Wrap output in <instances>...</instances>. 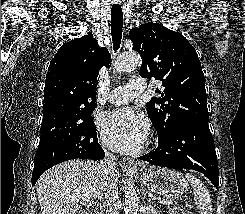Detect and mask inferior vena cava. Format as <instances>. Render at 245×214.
<instances>
[{
    "label": "inferior vena cava",
    "mask_w": 245,
    "mask_h": 214,
    "mask_svg": "<svg viewBox=\"0 0 245 214\" xmlns=\"http://www.w3.org/2000/svg\"><path fill=\"white\" fill-rule=\"evenodd\" d=\"M99 169L106 175H111L116 172L115 156L112 153L106 152V158L98 164ZM118 188L115 182H110L105 186L103 207L106 209V214H119L118 212Z\"/></svg>",
    "instance_id": "1"
}]
</instances>
